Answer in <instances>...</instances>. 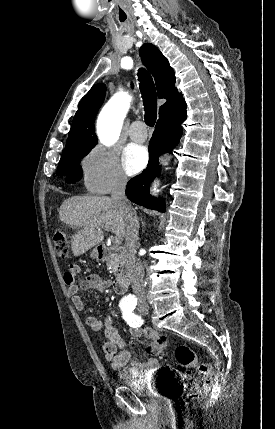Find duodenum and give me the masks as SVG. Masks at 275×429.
Listing matches in <instances>:
<instances>
[{
    "mask_svg": "<svg viewBox=\"0 0 275 429\" xmlns=\"http://www.w3.org/2000/svg\"><path fill=\"white\" fill-rule=\"evenodd\" d=\"M97 257L101 261L113 260L117 265V275L113 282V289L116 293L122 294L129 284V274L125 265V253L122 249L109 247L100 244L96 249Z\"/></svg>",
    "mask_w": 275,
    "mask_h": 429,
    "instance_id": "duodenum-1",
    "label": "duodenum"
}]
</instances>
